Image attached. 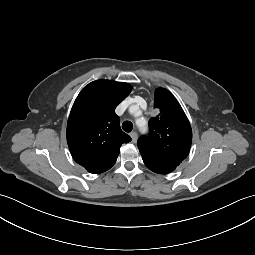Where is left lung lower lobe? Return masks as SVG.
I'll return each instance as SVG.
<instances>
[{
    "mask_svg": "<svg viewBox=\"0 0 255 255\" xmlns=\"http://www.w3.org/2000/svg\"><path fill=\"white\" fill-rule=\"evenodd\" d=\"M150 170H152L155 173H159V174H168L172 171H166V170H158V169H153V168H149Z\"/></svg>",
    "mask_w": 255,
    "mask_h": 255,
    "instance_id": "1",
    "label": "left lung lower lobe"
}]
</instances>
